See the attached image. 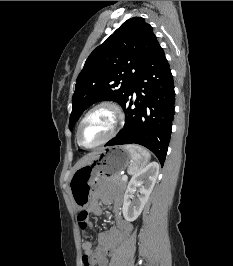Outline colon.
Returning <instances> with one entry per match:
<instances>
[{
    "label": "colon",
    "instance_id": "1",
    "mask_svg": "<svg viewBox=\"0 0 233 266\" xmlns=\"http://www.w3.org/2000/svg\"><path fill=\"white\" fill-rule=\"evenodd\" d=\"M88 220H89V216H88V212L87 211H81L78 214V224L80 226V228L82 230H86L88 227ZM85 262L87 265H91V258L90 257H86L85 258Z\"/></svg>",
    "mask_w": 233,
    "mask_h": 266
}]
</instances>
